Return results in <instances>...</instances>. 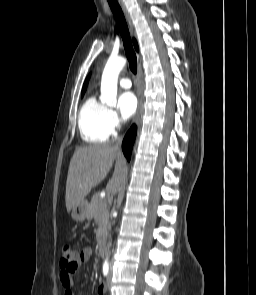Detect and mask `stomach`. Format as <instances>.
Here are the masks:
<instances>
[{
	"mask_svg": "<svg viewBox=\"0 0 256 295\" xmlns=\"http://www.w3.org/2000/svg\"><path fill=\"white\" fill-rule=\"evenodd\" d=\"M88 203L83 201L79 205L75 206L71 212V218L77 222H83L87 218Z\"/></svg>",
	"mask_w": 256,
	"mask_h": 295,
	"instance_id": "1",
	"label": "stomach"
}]
</instances>
